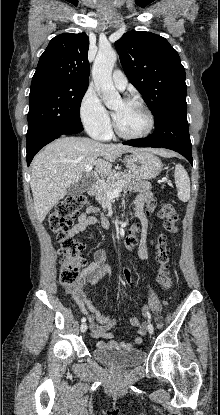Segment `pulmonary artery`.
Segmentation results:
<instances>
[{
  "mask_svg": "<svg viewBox=\"0 0 220 415\" xmlns=\"http://www.w3.org/2000/svg\"><path fill=\"white\" fill-rule=\"evenodd\" d=\"M112 79H113V83L115 87L118 90L123 91L126 88L128 81L124 73L121 72L120 70H115L113 72ZM106 139L107 138H103V140H106Z\"/></svg>",
  "mask_w": 220,
  "mask_h": 415,
  "instance_id": "obj_1",
  "label": "pulmonary artery"
}]
</instances>
